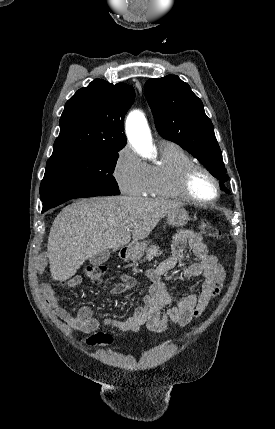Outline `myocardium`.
<instances>
[{"label": "myocardium", "instance_id": "1", "mask_svg": "<svg viewBox=\"0 0 275 429\" xmlns=\"http://www.w3.org/2000/svg\"><path fill=\"white\" fill-rule=\"evenodd\" d=\"M198 172L205 173L214 182L216 187V194L213 198L199 199L194 195L191 184L193 177ZM179 189L186 200L199 205H207L214 203L220 198L221 195V184L217 176L210 169L198 163L190 164L183 170L179 179Z\"/></svg>", "mask_w": 275, "mask_h": 429}]
</instances>
